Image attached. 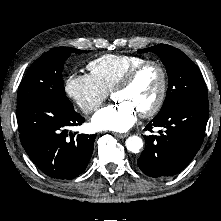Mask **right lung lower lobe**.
<instances>
[{
  "label": "right lung lower lobe",
  "instance_id": "right-lung-lower-lobe-1",
  "mask_svg": "<svg viewBox=\"0 0 221 221\" xmlns=\"http://www.w3.org/2000/svg\"><path fill=\"white\" fill-rule=\"evenodd\" d=\"M84 118L47 100H31L17 106L20 140L30 159L46 175L73 179L91 158L96 135L67 133Z\"/></svg>",
  "mask_w": 221,
  "mask_h": 221
}]
</instances>
